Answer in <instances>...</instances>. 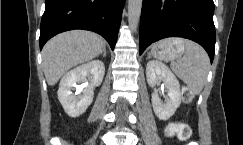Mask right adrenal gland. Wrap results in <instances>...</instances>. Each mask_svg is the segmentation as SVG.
I'll list each match as a JSON object with an SVG mask.
<instances>
[{
	"label": "right adrenal gland",
	"mask_w": 243,
	"mask_h": 145,
	"mask_svg": "<svg viewBox=\"0 0 243 145\" xmlns=\"http://www.w3.org/2000/svg\"><path fill=\"white\" fill-rule=\"evenodd\" d=\"M102 54H103V57H106V47H104Z\"/></svg>",
	"instance_id": "right-adrenal-gland-1"
}]
</instances>
